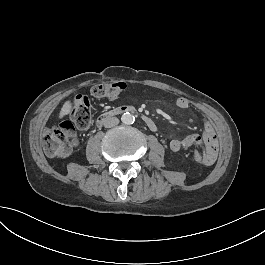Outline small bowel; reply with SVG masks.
Masks as SVG:
<instances>
[{
  "label": "small bowel",
  "mask_w": 265,
  "mask_h": 265,
  "mask_svg": "<svg viewBox=\"0 0 265 265\" xmlns=\"http://www.w3.org/2000/svg\"><path fill=\"white\" fill-rule=\"evenodd\" d=\"M175 104L180 110H187L190 107V102L184 97H178L175 100ZM202 125L204 129L203 139L205 142V154L206 160L204 164L212 165L217 159L218 155V146L216 141V135L214 133L212 124L209 119H202ZM200 140L199 136L190 135L183 139H172L169 142V148L173 152H178L181 150H186L190 148L192 145L196 144Z\"/></svg>",
  "instance_id": "small-bowel-1"
}]
</instances>
